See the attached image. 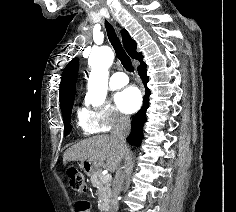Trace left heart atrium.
I'll list each match as a JSON object with an SVG mask.
<instances>
[{
	"label": "left heart atrium",
	"instance_id": "39dd6f15",
	"mask_svg": "<svg viewBox=\"0 0 236 212\" xmlns=\"http://www.w3.org/2000/svg\"><path fill=\"white\" fill-rule=\"evenodd\" d=\"M142 103L140 90L135 86H129L116 96V104L120 111L126 114L136 112Z\"/></svg>",
	"mask_w": 236,
	"mask_h": 212
}]
</instances>
